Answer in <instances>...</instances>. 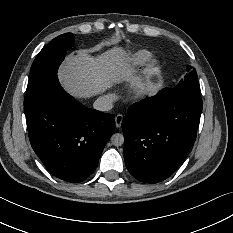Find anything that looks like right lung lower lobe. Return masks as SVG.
I'll use <instances>...</instances> for the list:
<instances>
[{
  "label": "right lung lower lobe",
  "instance_id": "98d812e1",
  "mask_svg": "<svg viewBox=\"0 0 233 233\" xmlns=\"http://www.w3.org/2000/svg\"><path fill=\"white\" fill-rule=\"evenodd\" d=\"M24 111L31 146L51 174L78 183L94 172L113 134L114 115L86 108L58 79Z\"/></svg>",
  "mask_w": 233,
  "mask_h": 233
}]
</instances>
